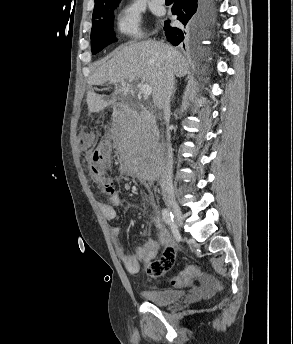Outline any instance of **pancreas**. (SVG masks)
<instances>
[{"mask_svg":"<svg viewBox=\"0 0 293 344\" xmlns=\"http://www.w3.org/2000/svg\"><path fill=\"white\" fill-rule=\"evenodd\" d=\"M142 133L143 131L140 128H137V129L131 130L130 137L135 139L141 136Z\"/></svg>","mask_w":293,"mask_h":344,"instance_id":"obj_1","label":"pancreas"}]
</instances>
